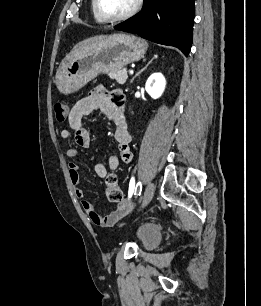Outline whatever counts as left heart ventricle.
<instances>
[{
    "mask_svg": "<svg viewBox=\"0 0 261 306\" xmlns=\"http://www.w3.org/2000/svg\"><path fill=\"white\" fill-rule=\"evenodd\" d=\"M135 0H100L102 11L108 16H120L129 11Z\"/></svg>",
    "mask_w": 261,
    "mask_h": 306,
    "instance_id": "b2bd125f",
    "label": "left heart ventricle"
}]
</instances>
